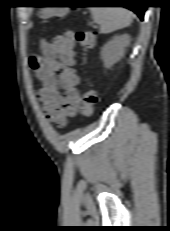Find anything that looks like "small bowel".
<instances>
[{
    "instance_id": "small-bowel-1",
    "label": "small bowel",
    "mask_w": 170,
    "mask_h": 231,
    "mask_svg": "<svg viewBox=\"0 0 170 231\" xmlns=\"http://www.w3.org/2000/svg\"><path fill=\"white\" fill-rule=\"evenodd\" d=\"M74 34L66 31L51 41H41V54L29 58V66L42 82L38 98L47 118L65 126L80 106L77 86L80 77L74 69Z\"/></svg>"
}]
</instances>
